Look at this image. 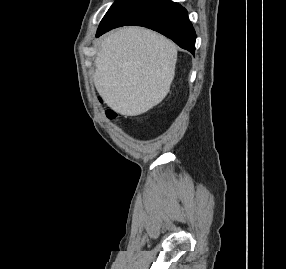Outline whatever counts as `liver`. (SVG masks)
<instances>
[{
    "label": "liver",
    "mask_w": 286,
    "mask_h": 269,
    "mask_svg": "<svg viewBox=\"0 0 286 269\" xmlns=\"http://www.w3.org/2000/svg\"><path fill=\"white\" fill-rule=\"evenodd\" d=\"M176 61L177 48L169 39L149 29L123 27L101 42L94 85L112 110L138 116L166 97Z\"/></svg>",
    "instance_id": "liver-1"
}]
</instances>
